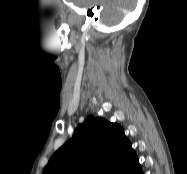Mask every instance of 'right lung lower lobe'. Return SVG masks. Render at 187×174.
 Listing matches in <instances>:
<instances>
[{
    "label": "right lung lower lobe",
    "instance_id": "98d812e1",
    "mask_svg": "<svg viewBox=\"0 0 187 174\" xmlns=\"http://www.w3.org/2000/svg\"><path fill=\"white\" fill-rule=\"evenodd\" d=\"M134 174H143L142 173V171H141V168H140V170L139 171H137L136 173H134Z\"/></svg>",
    "mask_w": 187,
    "mask_h": 174
}]
</instances>
